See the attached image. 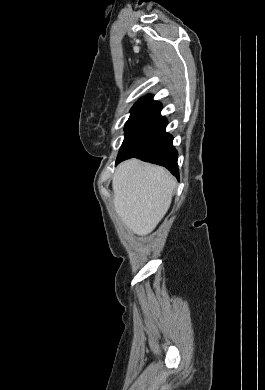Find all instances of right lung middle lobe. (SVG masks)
Segmentation results:
<instances>
[{
	"instance_id": "dd1d6c3e",
	"label": "right lung middle lobe",
	"mask_w": 265,
	"mask_h": 390,
	"mask_svg": "<svg viewBox=\"0 0 265 390\" xmlns=\"http://www.w3.org/2000/svg\"><path fill=\"white\" fill-rule=\"evenodd\" d=\"M153 103V101H150V100H139L137 101L134 106L132 107L131 109V115L128 119V121L126 122V125H125V130L127 131L129 126L132 124V122L142 113L144 112L151 104Z\"/></svg>"
}]
</instances>
